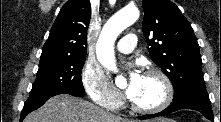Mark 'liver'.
Returning a JSON list of instances; mask_svg holds the SVG:
<instances>
[{"mask_svg":"<svg viewBox=\"0 0 221 122\" xmlns=\"http://www.w3.org/2000/svg\"><path fill=\"white\" fill-rule=\"evenodd\" d=\"M24 122H132L115 116L81 98L67 94L57 95L38 110L29 114Z\"/></svg>","mask_w":221,"mask_h":122,"instance_id":"obj_1","label":"liver"}]
</instances>
